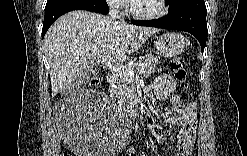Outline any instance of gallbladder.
<instances>
[{"mask_svg": "<svg viewBox=\"0 0 247 156\" xmlns=\"http://www.w3.org/2000/svg\"><path fill=\"white\" fill-rule=\"evenodd\" d=\"M97 72V70H93L92 74H95ZM91 75H88L87 77H82L79 80H77L75 83H73L72 85H70L68 88H66L63 92V94H69L71 92H74L78 86L83 85L84 83H86L88 81V79L90 78Z\"/></svg>", "mask_w": 247, "mask_h": 156, "instance_id": "bac80fb5", "label": "gallbladder"}]
</instances>
